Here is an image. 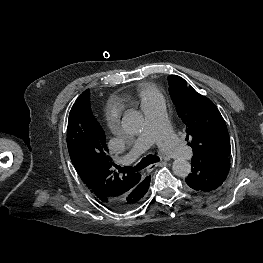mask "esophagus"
Returning a JSON list of instances; mask_svg holds the SVG:
<instances>
[{"label":"esophagus","mask_w":263,"mask_h":263,"mask_svg":"<svg viewBox=\"0 0 263 263\" xmlns=\"http://www.w3.org/2000/svg\"><path fill=\"white\" fill-rule=\"evenodd\" d=\"M164 165H165V162H158V163L151 164V165H149L147 167V171L150 172L153 169H155L156 167H161V166H164Z\"/></svg>","instance_id":"1"}]
</instances>
